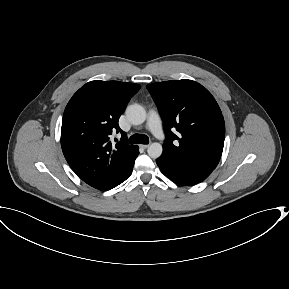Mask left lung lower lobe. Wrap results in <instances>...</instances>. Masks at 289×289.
<instances>
[{
    "instance_id": "left-lung-lower-lobe-1",
    "label": "left lung lower lobe",
    "mask_w": 289,
    "mask_h": 289,
    "mask_svg": "<svg viewBox=\"0 0 289 289\" xmlns=\"http://www.w3.org/2000/svg\"><path fill=\"white\" fill-rule=\"evenodd\" d=\"M157 165L172 181L186 186L202 182L213 171L194 165L170 163L162 157L157 159Z\"/></svg>"
}]
</instances>
